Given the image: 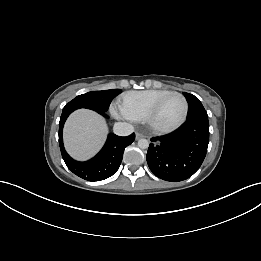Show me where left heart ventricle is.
<instances>
[{"mask_svg": "<svg viewBox=\"0 0 261 261\" xmlns=\"http://www.w3.org/2000/svg\"><path fill=\"white\" fill-rule=\"evenodd\" d=\"M184 109L183 101L178 96H170L159 107L153 123L157 127H170L177 123L182 116Z\"/></svg>", "mask_w": 261, "mask_h": 261, "instance_id": "obj_1", "label": "left heart ventricle"}]
</instances>
